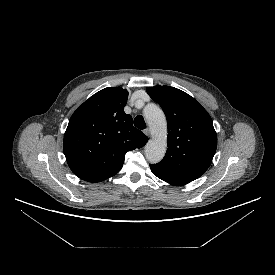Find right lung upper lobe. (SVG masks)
I'll return each mask as SVG.
<instances>
[{
    "label": "right lung upper lobe",
    "mask_w": 275,
    "mask_h": 275,
    "mask_svg": "<svg viewBox=\"0 0 275 275\" xmlns=\"http://www.w3.org/2000/svg\"><path fill=\"white\" fill-rule=\"evenodd\" d=\"M127 99V90L105 88L71 116L63 150L70 169L79 178L100 182L114 176L122 168L125 154L148 141L124 112Z\"/></svg>",
    "instance_id": "obj_1"
}]
</instances>
